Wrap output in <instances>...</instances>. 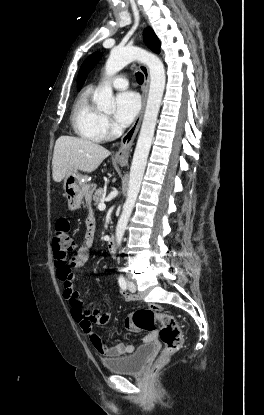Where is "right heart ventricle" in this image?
Masks as SVG:
<instances>
[{"label": "right heart ventricle", "mask_w": 264, "mask_h": 415, "mask_svg": "<svg viewBox=\"0 0 264 415\" xmlns=\"http://www.w3.org/2000/svg\"><path fill=\"white\" fill-rule=\"evenodd\" d=\"M71 124L74 132L82 139L102 142L106 138L103 129V115L92 103V93L84 91L76 99Z\"/></svg>", "instance_id": "right-heart-ventricle-1"}]
</instances>
